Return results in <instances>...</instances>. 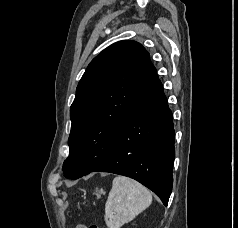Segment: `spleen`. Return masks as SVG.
Returning a JSON list of instances; mask_svg holds the SVG:
<instances>
[{
  "instance_id": "spleen-1",
  "label": "spleen",
  "mask_w": 238,
  "mask_h": 228,
  "mask_svg": "<svg viewBox=\"0 0 238 228\" xmlns=\"http://www.w3.org/2000/svg\"><path fill=\"white\" fill-rule=\"evenodd\" d=\"M151 202L152 194L146 187L129 177H115L105 204L107 227L120 228L149 207Z\"/></svg>"
}]
</instances>
